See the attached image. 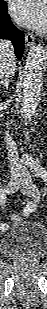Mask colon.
Here are the masks:
<instances>
[{"instance_id": "colon-1", "label": "colon", "mask_w": 47, "mask_h": 309, "mask_svg": "<svg viewBox=\"0 0 47 309\" xmlns=\"http://www.w3.org/2000/svg\"><path fill=\"white\" fill-rule=\"evenodd\" d=\"M25 214H29V211L25 210ZM12 219L13 221H18L20 219V217L18 215H12Z\"/></svg>"}]
</instances>
